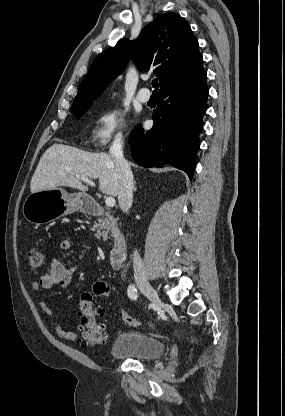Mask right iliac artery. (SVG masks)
Masks as SVG:
<instances>
[{
    "instance_id": "1",
    "label": "right iliac artery",
    "mask_w": 285,
    "mask_h": 416,
    "mask_svg": "<svg viewBox=\"0 0 285 416\" xmlns=\"http://www.w3.org/2000/svg\"><path fill=\"white\" fill-rule=\"evenodd\" d=\"M127 293L130 299L137 300L138 293H137V288L134 284L129 285Z\"/></svg>"
}]
</instances>
